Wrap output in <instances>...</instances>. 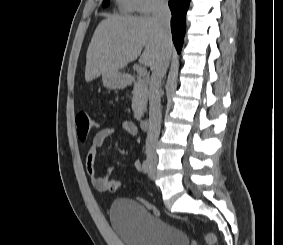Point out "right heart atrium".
I'll return each instance as SVG.
<instances>
[{
    "label": "right heart atrium",
    "instance_id": "d8ad5b80",
    "mask_svg": "<svg viewBox=\"0 0 283 245\" xmlns=\"http://www.w3.org/2000/svg\"><path fill=\"white\" fill-rule=\"evenodd\" d=\"M133 9L141 14H149L161 8L165 0H131Z\"/></svg>",
    "mask_w": 283,
    "mask_h": 245
}]
</instances>
